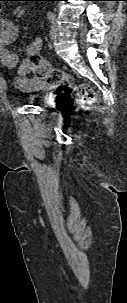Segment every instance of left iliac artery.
<instances>
[{
  "label": "left iliac artery",
  "instance_id": "obj_1",
  "mask_svg": "<svg viewBox=\"0 0 127 303\" xmlns=\"http://www.w3.org/2000/svg\"><path fill=\"white\" fill-rule=\"evenodd\" d=\"M47 18H48V20H49L51 23H53V22L55 21V19H56V15H55L54 12L49 11V12L47 13Z\"/></svg>",
  "mask_w": 127,
  "mask_h": 303
}]
</instances>
